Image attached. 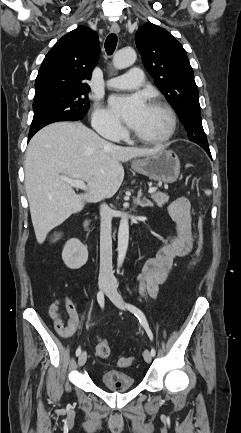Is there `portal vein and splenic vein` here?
<instances>
[{
  "instance_id": "obj_1",
  "label": "portal vein and splenic vein",
  "mask_w": 241,
  "mask_h": 433,
  "mask_svg": "<svg viewBox=\"0 0 241 433\" xmlns=\"http://www.w3.org/2000/svg\"><path fill=\"white\" fill-rule=\"evenodd\" d=\"M61 179L65 182H67L68 184H70L72 187L74 188H79L82 190H87V185L85 184L84 181L82 180H74L71 178H68L66 176H61ZM157 188L156 187H152L148 190L149 193H154L156 192Z\"/></svg>"
}]
</instances>
